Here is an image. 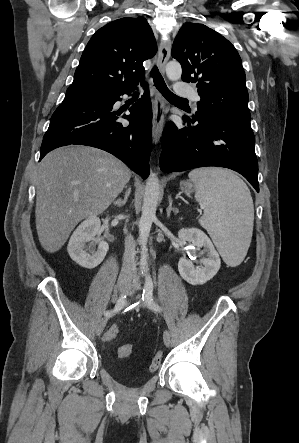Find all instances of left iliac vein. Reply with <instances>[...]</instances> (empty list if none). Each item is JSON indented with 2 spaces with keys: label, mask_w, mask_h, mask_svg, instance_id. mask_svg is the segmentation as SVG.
Instances as JSON below:
<instances>
[{
  "label": "left iliac vein",
  "mask_w": 299,
  "mask_h": 443,
  "mask_svg": "<svg viewBox=\"0 0 299 443\" xmlns=\"http://www.w3.org/2000/svg\"><path fill=\"white\" fill-rule=\"evenodd\" d=\"M140 289H141V285H140L139 283H134L133 286L131 287L130 291H129V294H130V295H134L135 292H136L137 290H140ZM163 341H164V344H165L166 346H169L170 341H171V334H170V332H169L168 330H165V331H164V334H163Z\"/></svg>",
  "instance_id": "4c4485c4"
}]
</instances>
